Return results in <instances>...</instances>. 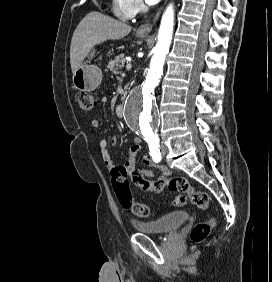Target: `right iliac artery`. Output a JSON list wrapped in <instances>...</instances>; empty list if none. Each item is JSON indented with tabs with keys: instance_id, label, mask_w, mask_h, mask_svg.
Segmentation results:
<instances>
[{
	"instance_id": "82829eb1",
	"label": "right iliac artery",
	"mask_w": 272,
	"mask_h": 282,
	"mask_svg": "<svg viewBox=\"0 0 272 282\" xmlns=\"http://www.w3.org/2000/svg\"><path fill=\"white\" fill-rule=\"evenodd\" d=\"M148 145H149L150 155L152 156L153 160L155 162H159L162 158L159 150V142L149 141Z\"/></svg>"
}]
</instances>
